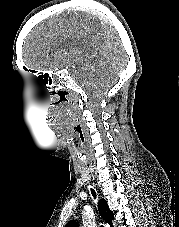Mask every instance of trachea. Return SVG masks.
Listing matches in <instances>:
<instances>
[{
  "label": "trachea",
  "instance_id": "3493384b",
  "mask_svg": "<svg viewBox=\"0 0 179 227\" xmlns=\"http://www.w3.org/2000/svg\"><path fill=\"white\" fill-rule=\"evenodd\" d=\"M91 194H92V196L96 199V192L93 190V189H91ZM103 227V226H102Z\"/></svg>",
  "mask_w": 179,
  "mask_h": 227
}]
</instances>
